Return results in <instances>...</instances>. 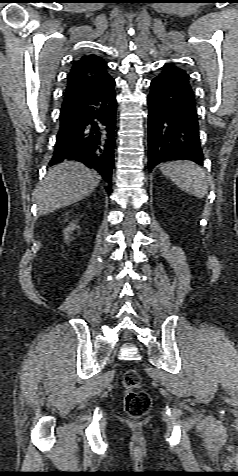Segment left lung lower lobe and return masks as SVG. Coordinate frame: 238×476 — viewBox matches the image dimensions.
I'll list each match as a JSON object with an SVG mask.
<instances>
[{
    "instance_id": "0a47b994",
    "label": "left lung lower lobe",
    "mask_w": 238,
    "mask_h": 476,
    "mask_svg": "<svg viewBox=\"0 0 238 476\" xmlns=\"http://www.w3.org/2000/svg\"><path fill=\"white\" fill-rule=\"evenodd\" d=\"M148 95V168L172 160L203 161L194 93L168 65Z\"/></svg>"
}]
</instances>
